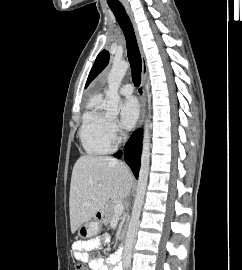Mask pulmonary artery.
<instances>
[{"mask_svg": "<svg viewBox=\"0 0 242 270\" xmlns=\"http://www.w3.org/2000/svg\"><path fill=\"white\" fill-rule=\"evenodd\" d=\"M122 95L129 96L133 93V87L130 84L122 85L119 89Z\"/></svg>", "mask_w": 242, "mask_h": 270, "instance_id": "1", "label": "pulmonary artery"}]
</instances>
